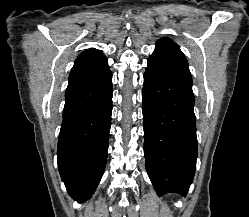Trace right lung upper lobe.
Segmentation results:
<instances>
[{"mask_svg":"<svg viewBox=\"0 0 249 217\" xmlns=\"http://www.w3.org/2000/svg\"><path fill=\"white\" fill-rule=\"evenodd\" d=\"M97 53H100V51L91 48V49H88L85 52L81 53V55H79L78 58L88 56V55H92V54H97Z\"/></svg>","mask_w":249,"mask_h":217,"instance_id":"obj_1","label":"right lung upper lobe"}]
</instances>
